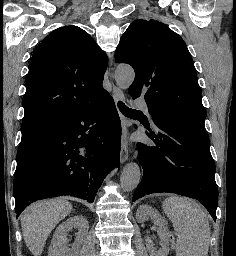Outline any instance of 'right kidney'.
<instances>
[{
  "label": "right kidney",
  "mask_w": 236,
  "mask_h": 256,
  "mask_svg": "<svg viewBox=\"0 0 236 256\" xmlns=\"http://www.w3.org/2000/svg\"><path fill=\"white\" fill-rule=\"evenodd\" d=\"M72 228H77L78 232L76 234V242L70 250V248H67L66 232H70ZM88 228V222L84 216H73L66 222H62L55 230L48 256H79L81 246L88 234Z\"/></svg>",
  "instance_id": "obj_1"
}]
</instances>
